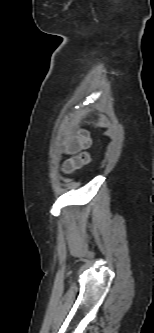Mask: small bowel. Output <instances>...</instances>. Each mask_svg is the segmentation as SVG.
Listing matches in <instances>:
<instances>
[{
  "mask_svg": "<svg viewBox=\"0 0 154 333\" xmlns=\"http://www.w3.org/2000/svg\"><path fill=\"white\" fill-rule=\"evenodd\" d=\"M90 134L82 130L79 136L75 137L66 148V153L70 155L63 163V170L71 173L76 169L90 162V155L86 151L91 145Z\"/></svg>",
  "mask_w": 154,
  "mask_h": 333,
  "instance_id": "1",
  "label": "small bowel"
}]
</instances>
